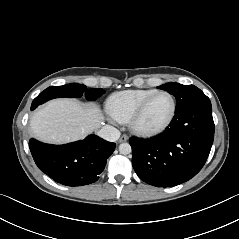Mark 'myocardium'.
<instances>
[{"label": "myocardium", "mask_w": 239, "mask_h": 239, "mask_svg": "<svg viewBox=\"0 0 239 239\" xmlns=\"http://www.w3.org/2000/svg\"><path fill=\"white\" fill-rule=\"evenodd\" d=\"M159 95H167L171 99L172 110L169 117L162 124L155 127H145L141 125L140 118L143 112L145 111L147 105L150 103L151 100H153L155 97ZM176 112H177V103H176L175 97L168 91H164V90L156 91L150 96H148L147 98H145L137 106V108L134 110V112L132 113V115L130 116L128 120L129 127L134 133L138 135H142V136L157 135L163 132L165 129H167L170 126V124L172 123V121L174 120L176 116Z\"/></svg>", "instance_id": "obj_1"}]
</instances>
